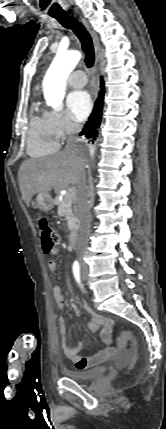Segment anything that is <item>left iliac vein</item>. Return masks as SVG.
<instances>
[{
  "mask_svg": "<svg viewBox=\"0 0 166 429\" xmlns=\"http://www.w3.org/2000/svg\"><path fill=\"white\" fill-rule=\"evenodd\" d=\"M82 280H83V281H85V280H86V276H85V273H84V272H82Z\"/></svg>",
  "mask_w": 166,
  "mask_h": 429,
  "instance_id": "4c4485c4",
  "label": "left iliac vein"
}]
</instances>
